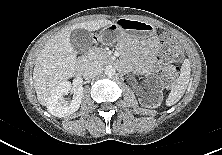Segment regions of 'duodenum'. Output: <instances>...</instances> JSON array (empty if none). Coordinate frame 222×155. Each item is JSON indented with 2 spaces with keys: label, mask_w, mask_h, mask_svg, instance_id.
Wrapping results in <instances>:
<instances>
[{
  "label": "duodenum",
  "mask_w": 222,
  "mask_h": 155,
  "mask_svg": "<svg viewBox=\"0 0 222 155\" xmlns=\"http://www.w3.org/2000/svg\"><path fill=\"white\" fill-rule=\"evenodd\" d=\"M90 57H91L90 54L86 55L77 64L76 69H75V76L76 77H81L83 69H84L85 65L87 64V62L89 61Z\"/></svg>",
  "instance_id": "duodenum-1"
}]
</instances>
